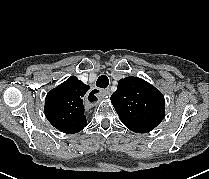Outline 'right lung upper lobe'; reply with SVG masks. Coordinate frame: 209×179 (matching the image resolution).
Here are the masks:
<instances>
[{
    "mask_svg": "<svg viewBox=\"0 0 209 179\" xmlns=\"http://www.w3.org/2000/svg\"><path fill=\"white\" fill-rule=\"evenodd\" d=\"M89 88L76 76H71L52 89L45 100V115L51 125L67 134L77 133L86 127L84 100ZM89 98L96 100L94 95Z\"/></svg>",
    "mask_w": 209,
    "mask_h": 179,
    "instance_id": "obj_1",
    "label": "right lung upper lobe"
}]
</instances>
